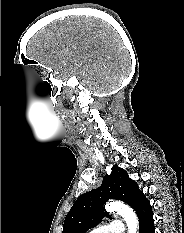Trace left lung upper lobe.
I'll list each match as a JSON object with an SVG mask.
<instances>
[{"label":"left lung upper lobe","instance_id":"1","mask_svg":"<svg viewBox=\"0 0 184 233\" xmlns=\"http://www.w3.org/2000/svg\"><path fill=\"white\" fill-rule=\"evenodd\" d=\"M142 196L137 183L125 170L114 165L99 188L77 198L64 220L62 233H85L98 225L106 216L103 206L108 199L121 200L133 208Z\"/></svg>","mask_w":184,"mask_h":233}]
</instances>
